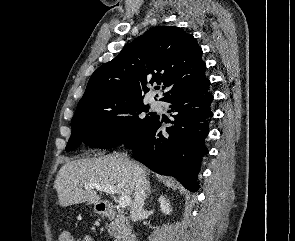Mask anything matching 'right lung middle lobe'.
<instances>
[{"label": "right lung middle lobe", "instance_id": "1", "mask_svg": "<svg viewBox=\"0 0 295 241\" xmlns=\"http://www.w3.org/2000/svg\"><path fill=\"white\" fill-rule=\"evenodd\" d=\"M143 112L147 113L145 117L141 115ZM156 117L148 113V106L143 102L121 98L78 103L66 150H74L81 143L102 149L124 144L141 133Z\"/></svg>", "mask_w": 295, "mask_h": 241}]
</instances>
